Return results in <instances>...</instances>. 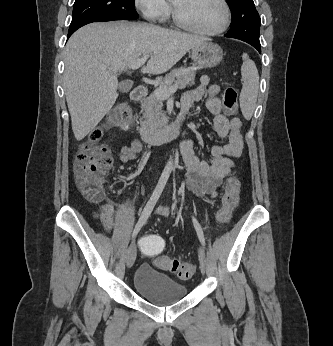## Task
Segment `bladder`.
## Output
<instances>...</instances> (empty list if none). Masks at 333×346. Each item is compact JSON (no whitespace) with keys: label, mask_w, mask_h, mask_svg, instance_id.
I'll return each mask as SVG.
<instances>
[{"label":"bladder","mask_w":333,"mask_h":346,"mask_svg":"<svg viewBox=\"0 0 333 346\" xmlns=\"http://www.w3.org/2000/svg\"><path fill=\"white\" fill-rule=\"evenodd\" d=\"M135 291L146 301L156 305H169L184 299V284L157 271L150 264H141L133 279Z\"/></svg>","instance_id":"31cf9c89"}]
</instances>
